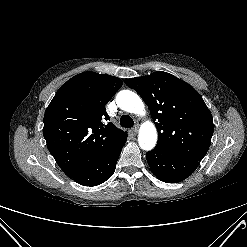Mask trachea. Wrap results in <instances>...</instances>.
I'll return each instance as SVG.
<instances>
[{
	"mask_svg": "<svg viewBox=\"0 0 247 247\" xmlns=\"http://www.w3.org/2000/svg\"><path fill=\"white\" fill-rule=\"evenodd\" d=\"M120 125L125 128H131L134 125V121L128 115H122L120 118Z\"/></svg>",
	"mask_w": 247,
	"mask_h": 247,
	"instance_id": "trachea-1",
	"label": "trachea"
}]
</instances>
